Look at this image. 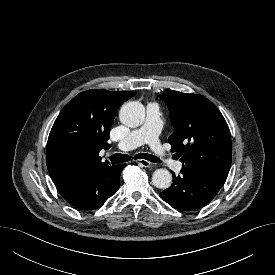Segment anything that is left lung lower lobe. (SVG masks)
<instances>
[{"mask_svg": "<svg viewBox=\"0 0 275 275\" xmlns=\"http://www.w3.org/2000/svg\"><path fill=\"white\" fill-rule=\"evenodd\" d=\"M224 181L201 173L181 169V175L173 173L172 185L160 193L162 200L180 211H191L209 203Z\"/></svg>", "mask_w": 275, "mask_h": 275, "instance_id": "left-lung-lower-lobe-1", "label": "left lung lower lobe"}]
</instances>
